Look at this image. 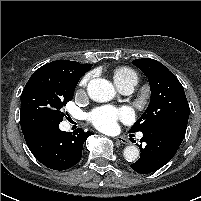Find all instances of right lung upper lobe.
Wrapping results in <instances>:
<instances>
[{
	"label": "right lung upper lobe",
	"instance_id": "1",
	"mask_svg": "<svg viewBox=\"0 0 201 201\" xmlns=\"http://www.w3.org/2000/svg\"><path fill=\"white\" fill-rule=\"evenodd\" d=\"M49 64H51L53 66H59V67H77L80 65H85V64H80V63L75 62V61H65V60L53 61Z\"/></svg>",
	"mask_w": 201,
	"mask_h": 201
}]
</instances>
